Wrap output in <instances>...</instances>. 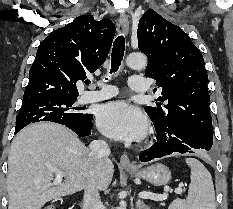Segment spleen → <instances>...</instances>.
Segmentation results:
<instances>
[{
  "mask_svg": "<svg viewBox=\"0 0 233 209\" xmlns=\"http://www.w3.org/2000/svg\"><path fill=\"white\" fill-rule=\"evenodd\" d=\"M191 182L187 200L176 199L169 209H216L215 191L210 172L195 158H187Z\"/></svg>",
  "mask_w": 233,
  "mask_h": 209,
  "instance_id": "3e777b00",
  "label": "spleen"
}]
</instances>
